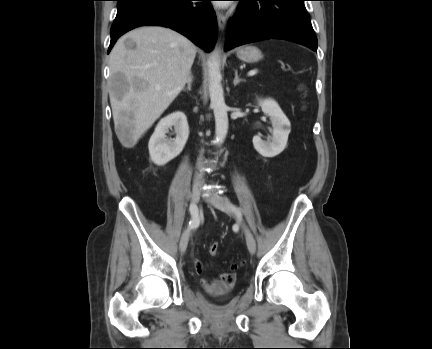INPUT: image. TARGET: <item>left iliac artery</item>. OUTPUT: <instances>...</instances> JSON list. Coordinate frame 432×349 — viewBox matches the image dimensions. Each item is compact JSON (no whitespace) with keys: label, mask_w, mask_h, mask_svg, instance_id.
<instances>
[{"label":"left iliac artery","mask_w":432,"mask_h":349,"mask_svg":"<svg viewBox=\"0 0 432 349\" xmlns=\"http://www.w3.org/2000/svg\"><path fill=\"white\" fill-rule=\"evenodd\" d=\"M234 209L239 210L238 208L234 207Z\"/></svg>","instance_id":"1"}]
</instances>
